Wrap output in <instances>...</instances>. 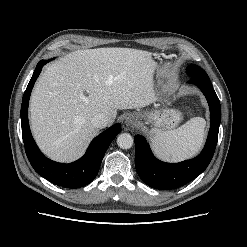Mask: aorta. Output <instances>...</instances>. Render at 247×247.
<instances>
[{
	"mask_svg": "<svg viewBox=\"0 0 247 247\" xmlns=\"http://www.w3.org/2000/svg\"><path fill=\"white\" fill-rule=\"evenodd\" d=\"M133 143V137L129 133H122L117 137V144L122 149L131 148Z\"/></svg>",
	"mask_w": 247,
	"mask_h": 247,
	"instance_id": "obj_1",
	"label": "aorta"
}]
</instances>
